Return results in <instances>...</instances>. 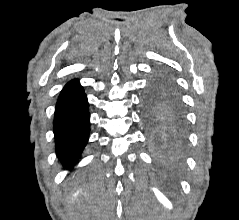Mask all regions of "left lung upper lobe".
I'll return each instance as SVG.
<instances>
[{
    "label": "left lung upper lobe",
    "mask_w": 239,
    "mask_h": 220,
    "mask_svg": "<svg viewBox=\"0 0 239 220\" xmlns=\"http://www.w3.org/2000/svg\"><path fill=\"white\" fill-rule=\"evenodd\" d=\"M180 99L169 72L158 71L144 99L145 122L152 130L160 128L181 111Z\"/></svg>",
    "instance_id": "left-lung-upper-lobe-1"
}]
</instances>
